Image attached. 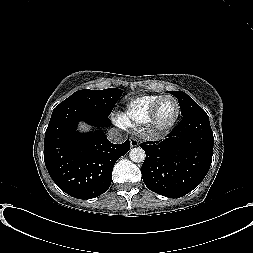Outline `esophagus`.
<instances>
[{
  "label": "esophagus",
  "instance_id": "esophagus-1",
  "mask_svg": "<svg viewBox=\"0 0 253 253\" xmlns=\"http://www.w3.org/2000/svg\"><path fill=\"white\" fill-rule=\"evenodd\" d=\"M130 145H131V147H136L139 145V141L136 138L131 137L130 138Z\"/></svg>",
  "mask_w": 253,
  "mask_h": 253
}]
</instances>
